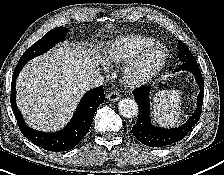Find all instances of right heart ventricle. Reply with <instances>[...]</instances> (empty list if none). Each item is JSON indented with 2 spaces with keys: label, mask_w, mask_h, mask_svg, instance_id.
<instances>
[{
  "label": "right heart ventricle",
  "mask_w": 224,
  "mask_h": 175,
  "mask_svg": "<svg viewBox=\"0 0 224 175\" xmlns=\"http://www.w3.org/2000/svg\"><path fill=\"white\" fill-rule=\"evenodd\" d=\"M152 37L132 34L110 41L102 53V59L109 65H120L133 59L142 49L154 43Z\"/></svg>",
  "instance_id": "e07e8e85"
}]
</instances>
